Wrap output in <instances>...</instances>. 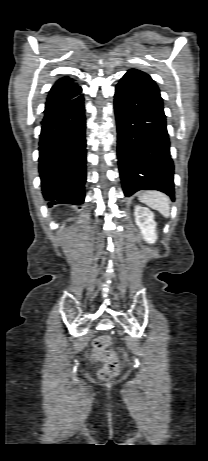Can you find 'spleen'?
<instances>
[{
	"mask_svg": "<svg viewBox=\"0 0 208 461\" xmlns=\"http://www.w3.org/2000/svg\"><path fill=\"white\" fill-rule=\"evenodd\" d=\"M139 200L160 212L164 217L170 216V199L162 192L148 191L139 196Z\"/></svg>",
	"mask_w": 208,
	"mask_h": 461,
	"instance_id": "obj_1",
	"label": "spleen"
}]
</instances>
